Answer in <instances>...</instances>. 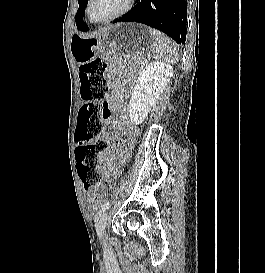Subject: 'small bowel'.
<instances>
[{
  "instance_id": "small-bowel-1",
  "label": "small bowel",
  "mask_w": 265,
  "mask_h": 273,
  "mask_svg": "<svg viewBox=\"0 0 265 273\" xmlns=\"http://www.w3.org/2000/svg\"><path fill=\"white\" fill-rule=\"evenodd\" d=\"M110 100L114 104V106L117 107V101H118L117 96L116 95L111 96ZM121 126L126 127L128 129H133L132 124L126 118L122 119ZM105 137L107 138V140H111L110 133H109L108 129L105 131ZM114 153H115L114 150L107 149L104 152H102L100 155V160L106 170H109L112 167ZM92 206L96 207V204H94Z\"/></svg>"
}]
</instances>
